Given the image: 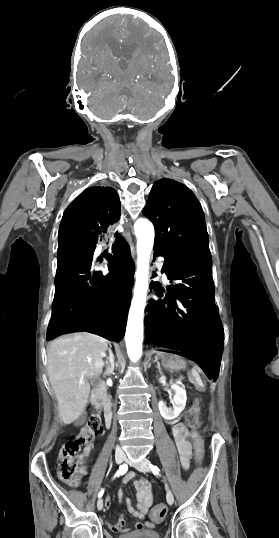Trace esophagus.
Segmentation results:
<instances>
[{
    "mask_svg": "<svg viewBox=\"0 0 279 538\" xmlns=\"http://www.w3.org/2000/svg\"><path fill=\"white\" fill-rule=\"evenodd\" d=\"M124 238L127 240V242L130 244V246L133 248L132 238H131V234H130L129 231H126L124 233ZM132 257L135 258V253H134L133 250H132Z\"/></svg>",
    "mask_w": 279,
    "mask_h": 538,
    "instance_id": "1",
    "label": "esophagus"
}]
</instances>
